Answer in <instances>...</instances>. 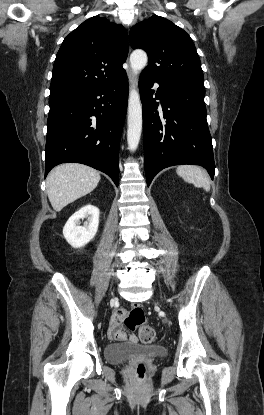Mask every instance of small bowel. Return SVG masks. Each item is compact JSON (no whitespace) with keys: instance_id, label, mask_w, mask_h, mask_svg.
Returning <instances> with one entry per match:
<instances>
[{"instance_id":"c3829d8e","label":"small bowel","mask_w":264,"mask_h":415,"mask_svg":"<svg viewBox=\"0 0 264 415\" xmlns=\"http://www.w3.org/2000/svg\"><path fill=\"white\" fill-rule=\"evenodd\" d=\"M125 313V309H119L111 318L110 325L107 330V336L111 342H122L127 339L132 342L137 341V337L134 334L128 335L124 331L122 319L125 316Z\"/></svg>"}]
</instances>
